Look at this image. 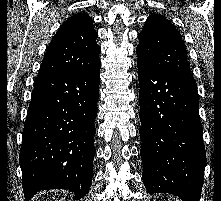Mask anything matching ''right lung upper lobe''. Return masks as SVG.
<instances>
[{
    "instance_id": "cb5924a9",
    "label": "right lung upper lobe",
    "mask_w": 221,
    "mask_h": 201,
    "mask_svg": "<svg viewBox=\"0 0 221 201\" xmlns=\"http://www.w3.org/2000/svg\"><path fill=\"white\" fill-rule=\"evenodd\" d=\"M97 37L88 14L69 17L50 42L39 73H80L100 66Z\"/></svg>"
}]
</instances>
